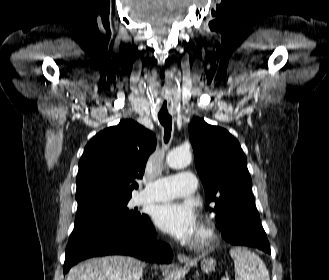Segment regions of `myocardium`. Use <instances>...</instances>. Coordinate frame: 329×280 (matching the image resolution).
Here are the masks:
<instances>
[{
    "instance_id": "obj_1",
    "label": "myocardium",
    "mask_w": 329,
    "mask_h": 280,
    "mask_svg": "<svg viewBox=\"0 0 329 280\" xmlns=\"http://www.w3.org/2000/svg\"><path fill=\"white\" fill-rule=\"evenodd\" d=\"M214 239V232L212 228L207 225H202L193 242V245L197 248H203L210 244Z\"/></svg>"
}]
</instances>
